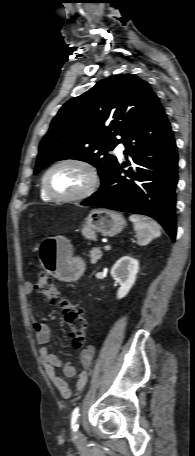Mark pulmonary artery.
<instances>
[{
    "label": "pulmonary artery",
    "mask_w": 195,
    "mask_h": 456,
    "mask_svg": "<svg viewBox=\"0 0 195 456\" xmlns=\"http://www.w3.org/2000/svg\"><path fill=\"white\" fill-rule=\"evenodd\" d=\"M116 153L119 155V156H122L123 152L125 151V146L124 144L120 143L116 149H115Z\"/></svg>",
    "instance_id": "obj_1"
}]
</instances>
